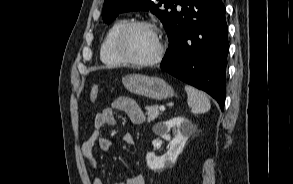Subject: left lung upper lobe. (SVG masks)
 I'll return each mask as SVG.
<instances>
[{"instance_id":"5c2ea615","label":"left lung upper lobe","mask_w":293,"mask_h":184,"mask_svg":"<svg viewBox=\"0 0 293 184\" xmlns=\"http://www.w3.org/2000/svg\"><path fill=\"white\" fill-rule=\"evenodd\" d=\"M179 0H105L102 17L106 23L127 11L145 10L154 13L169 29Z\"/></svg>"}]
</instances>
